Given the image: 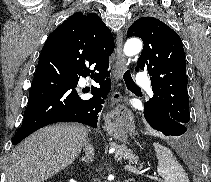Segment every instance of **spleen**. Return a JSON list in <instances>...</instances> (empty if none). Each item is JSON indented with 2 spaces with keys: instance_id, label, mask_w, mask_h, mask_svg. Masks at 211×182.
<instances>
[{
  "instance_id": "1",
  "label": "spleen",
  "mask_w": 211,
  "mask_h": 182,
  "mask_svg": "<svg viewBox=\"0 0 211 182\" xmlns=\"http://www.w3.org/2000/svg\"><path fill=\"white\" fill-rule=\"evenodd\" d=\"M153 146L158 159V174L166 182H189L187 173L179 164L172 151L159 143H153Z\"/></svg>"
}]
</instances>
